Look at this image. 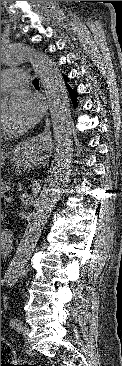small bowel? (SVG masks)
Instances as JSON below:
<instances>
[{
    "instance_id": "obj_1",
    "label": "small bowel",
    "mask_w": 122,
    "mask_h": 366,
    "mask_svg": "<svg viewBox=\"0 0 122 366\" xmlns=\"http://www.w3.org/2000/svg\"><path fill=\"white\" fill-rule=\"evenodd\" d=\"M19 275L18 270L15 267H11L9 268L6 273L4 278L1 280V284L3 283H10L11 281H13L17 276ZM9 345V344H8ZM10 346V345H9ZM11 349V347H10ZM12 352V350H11Z\"/></svg>"
}]
</instances>
